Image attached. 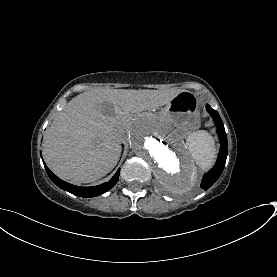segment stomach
Listing matches in <instances>:
<instances>
[{"label":"stomach","mask_w":277,"mask_h":277,"mask_svg":"<svg viewBox=\"0 0 277 277\" xmlns=\"http://www.w3.org/2000/svg\"><path fill=\"white\" fill-rule=\"evenodd\" d=\"M160 117L174 125L183 135H190L200 126V103L195 95L183 90L165 105Z\"/></svg>","instance_id":"stomach-1"}]
</instances>
